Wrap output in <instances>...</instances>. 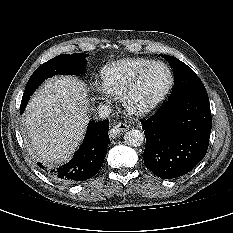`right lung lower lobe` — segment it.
Listing matches in <instances>:
<instances>
[{"instance_id": "98d812e1", "label": "right lung lower lobe", "mask_w": 233, "mask_h": 233, "mask_svg": "<svg viewBox=\"0 0 233 233\" xmlns=\"http://www.w3.org/2000/svg\"><path fill=\"white\" fill-rule=\"evenodd\" d=\"M30 96L22 98L20 113H23ZM109 122H90L83 143L73 158L60 168H46V173L53 179L75 183L89 179L100 170L107 153L109 143ZM38 165L42 168L43 165Z\"/></svg>"}]
</instances>
